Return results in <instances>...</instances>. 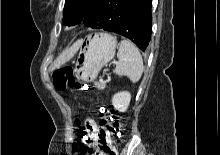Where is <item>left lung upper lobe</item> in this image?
Masks as SVG:
<instances>
[{"mask_svg":"<svg viewBox=\"0 0 220 155\" xmlns=\"http://www.w3.org/2000/svg\"><path fill=\"white\" fill-rule=\"evenodd\" d=\"M98 0H66L63 10L64 24L73 26L80 23Z\"/></svg>","mask_w":220,"mask_h":155,"instance_id":"1","label":"left lung upper lobe"}]
</instances>
